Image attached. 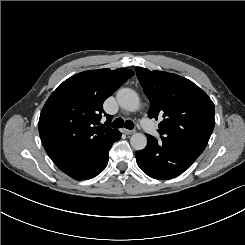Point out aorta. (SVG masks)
Listing matches in <instances>:
<instances>
[{
	"label": "aorta",
	"instance_id": "obj_1",
	"mask_svg": "<svg viewBox=\"0 0 245 245\" xmlns=\"http://www.w3.org/2000/svg\"><path fill=\"white\" fill-rule=\"evenodd\" d=\"M119 105L130 112H135L140 108L138 94L130 88H122L117 92ZM130 144L135 150H143L147 145V137L142 133H135L130 138Z\"/></svg>",
	"mask_w": 245,
	"mask_h": 245
}]
</instances>
